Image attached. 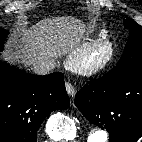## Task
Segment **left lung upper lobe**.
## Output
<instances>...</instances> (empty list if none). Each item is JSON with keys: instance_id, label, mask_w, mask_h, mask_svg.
<instances>
[{"instance_id": "1", "label": "left lung upper lobe", "mask_w": 142, "mask_h": 142, "mask_svg": "<svg viewBox=\"0 0 142 142\" xmlns=\"http://www.w3.org/2000/svg\"><path fill=\"white\" fill-rule=\"evenodd\" d=\"M124 26L129 30L130 36L124 53L112 72L142 69V26L131 18L124 20Z\"/></svg>"}]
</instances>
